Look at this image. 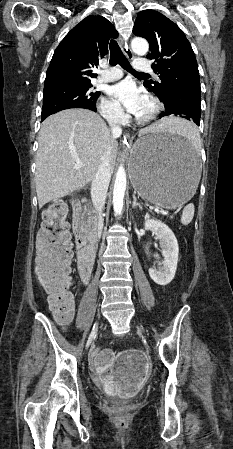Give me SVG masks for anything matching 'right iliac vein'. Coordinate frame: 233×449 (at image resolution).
I'll use <instances>...</instances> for the list:
<instances>
[{
  "label": "right iliac vein",
  "instance_id": "obj_1",
  "mask_svg": "<svg viewBox=\"0 0 233 449\" xmlns=\"http://www.w3.org/2000/svg\"><path fill=\"white\" fill-rule=\"evenodd\" d=\"M93 327H94V326H93ZM96 332H97V324H95V327H94V328L92 329V331H91V334H90V336H89V338H88V341H87L88 344L91 343V341H92L93 337L95 336ZM88 346H89V345H88Z\"/></svg>",
  "mask_w": 233,
  "mask_h": 449
}]
</instances>
